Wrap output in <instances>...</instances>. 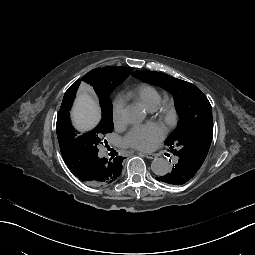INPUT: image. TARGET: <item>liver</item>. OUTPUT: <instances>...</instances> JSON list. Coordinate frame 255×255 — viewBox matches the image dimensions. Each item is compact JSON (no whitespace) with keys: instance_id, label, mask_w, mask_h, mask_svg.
Wrapping results in <instances>:
<instances>
[{"instance_id":"liver-1","label":"liver","mask_w":255,"mask_h":255,"mask_svg":"<svg viewBox=\"0 0 255 255\" xmlns=\"http://www.w3.org/2000/svg\"><path fill=\"white\" fill-rule=\"evenodd\" d=\"M73 119L78 129H87L99 119L97 100L86 86H83L78 92Z\"/></svg>"}]
</instances>
